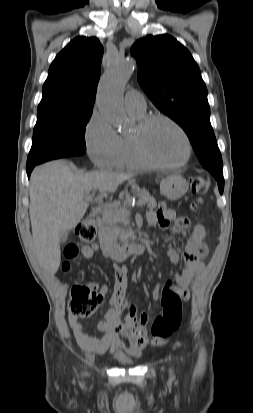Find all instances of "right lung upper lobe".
<instances>
[{
  "mask_svg": "<svg viewBox=\"0 0 253 413\" xmlns=\"http://www.w3.org/2000/svg\"><path fill=\"white\" fill-rule=\"evenodd\" d=\"M103 47L95 37H76L52 62L37 113L92 110Z\"/></svg>",
  "mask_w": 253,
  "mask_h": 413,
  "instance_id": "right-lung-upper-lobe-1",
  "label": "right lung upper lobe"
}]
</instances>
